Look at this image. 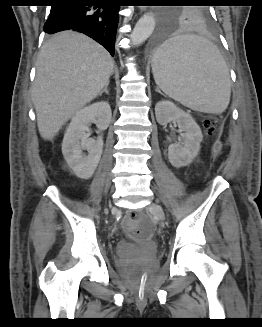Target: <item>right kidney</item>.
Returning <instances> with one entry per match:
<instances>
[{"instance_id":"obj_1","label":"right kidney","mask_w":262,"mask_h":327,"mask_svg":"<svg viewBox=\"0 0 262 327\" xmlns=\"http://www.w3.org/2000/svg\"><path fill=\"white\" fill-rule=\"evenodd\" d=\"M111 108L108 102L101 101L78 110L71 119L62 142V153L70 168L82 178H90L100 161L103 139H88L86 131L95 123L99 132L106 130L111 121ZM87 150L89 154H83Z\"/></svg>"}]
</instances>
